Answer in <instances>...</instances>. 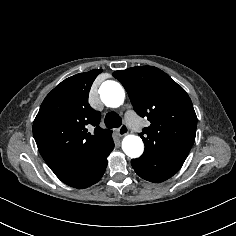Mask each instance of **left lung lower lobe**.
Here are the masks:
<instances>
[{
  "mask_svg": "<svg viewBox=\"0 0 236 236\" xmlns=\"http://www.w3.org/2000/svg\"><path fill=\"white\" fill-rule=\"evenodd\" d=\"M184 161L163 154L143 153L140 158L132 159L131 164L141 178L160 183L177 173Z\"/></svg>",
  "mask_w": 236,
  "mask_h": 236,
  "instance_id": "obj_1",
  "label": "left lung lower lobe"
}]
</instances>
